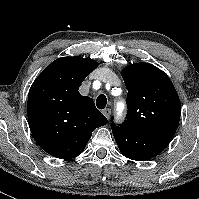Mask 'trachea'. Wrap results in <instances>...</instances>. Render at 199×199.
Instances as JSON below:
<instances>
[{"instance_id": "3493384b", "label": "trachea", "mask_w": 199, "mask_h": 199, "mask_svg": "<svg viewBox=\"0 0 199 199\" xmlns=\"http://www.w3.org/2000/svg\"><path fill=\"white\" fill-rule=\"evenodd\" d=\"M107 104V99L105 97V95H99L96 99V105L99 109H104L106 107Z\"/></svg>"}]
</instances>
